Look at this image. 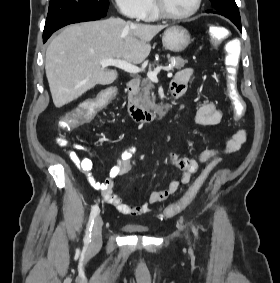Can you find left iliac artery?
I'll list each match as a JSON object with an SVG mask.
<instances>
[{
    "label": "left iliac artery",
    "mask_w": 280,
    "mask_h": 283,
    "mask_svg": "<svg viewBox=\"0 0 280 283\" xmlns=\"http://www.w3.org/2000/svg\"><path fill=\"white\" fill-rule=\"evenodd\" d=\"M194 234L197 235L196 229L193 227Z\"/></svg>",
    "instance_id": "obj_1"
}]
</instances>
